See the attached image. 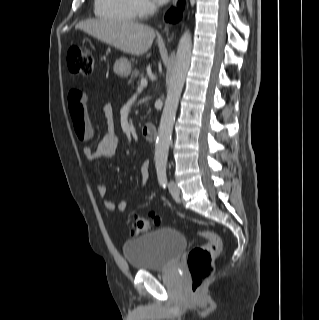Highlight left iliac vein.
<instances>
[{"mask_svg": "<svg viewBox=\"0 0 319 320\" xmlns=\"http://www.w3.org/2000/svg\"><path fill=\"white\" fill-rule=\"evenodd\" d=\"M168 188L172 196L178 197L180 194V189L174 181H170L168 184Z\"/></svg>", "mask_w": 319, "mask_h": 320, "instance_id": "1", "label": "left iliac vein"}]
</instances>
